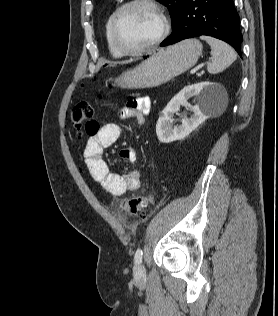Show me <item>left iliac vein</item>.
I'll list each match as a JSON object with an SVG mask.
<instances>
[{
    "label": "left iliac vein",
    "mask_w": 278,
    "mask_h": 316,
    "mask_svg": "<svg viewBox=\"0 0 278 316\" xmlns=\"http://www.w3.org/2000/svg\"><path fill=\"white\" fill-rule=\"evenodd\" d=\"M145 267L143 264H138L134 267V274L136 277L141 278L145 275Z\"/></svg>",
    "instance_id": "1"
}]
</instances>
